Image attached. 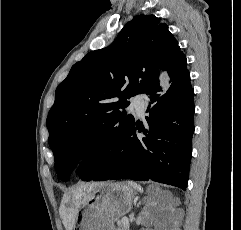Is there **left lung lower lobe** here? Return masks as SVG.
Here are the masks:
<instances>
[{
	"mask_svg": "<svg viewBox=\"0 0 241 230\" xmlns=\"http://www.w3.org/2000/svg\"><path fill=\"white\" fill-rule=\"evenodd\" d=\"M186 63L181 53L168 68L172 83L166 94H156L159 81L145 92L149 116L144 125L134 121L118 139L91 149L82 163L81 180H153L186 190L195 112ZM137 130L142 137H137Z\"/></svg>",
	"mask_w": 241,
	"mask_h": 230,
	"instance_id": "1",
	"label": "left lung lower lobe"
}]
</instances>
